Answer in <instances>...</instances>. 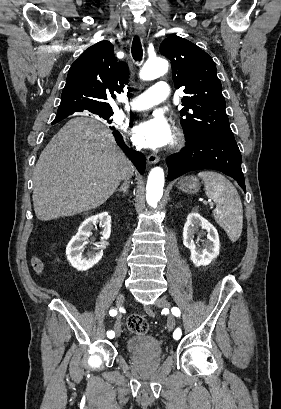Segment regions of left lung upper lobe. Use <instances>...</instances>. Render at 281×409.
<instances>
[{"mask_svg":"<svg viewBox=\"0 0 281 409\" xmlns=\"http://www.w3.org/2000/svg\"><path fill=\"white\" fill-rule=\"evenodd\" d=\"M160 52L171 61L175 87H185L186 96L182 99L185 107L180 113L184 116L181 124L187 139L203 134L234 139L212 58L192 42L178 36L166 38L161 43Z\"/></svg>","mask_w":281,"mask_h":409,"instance_id":"left-lung-upper-lobe-1","label":"left lung upper lobe"}]
</instances>
